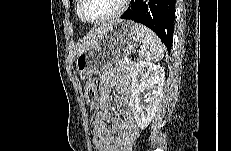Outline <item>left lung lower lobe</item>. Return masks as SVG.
Listing matches in <instances>:
<instances>
[{
  "label": "left lung lower lobe",
  "mask_w": 231,
  "mask_h": 151,
  "mask_svg": "<svg viewBox=\"0 0 231 151\" xmlns=\"http://www.w3.org/2000/svg\"><path fill=\"white\" fill-rule=\"evenodd\" d=\"M131 5L121 16L141 23L153 30L170 52L173 42L175 0H131Z\"/></svg>",
  "instance_id": "1"
}]
</instances>
